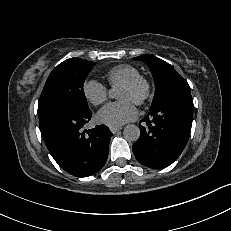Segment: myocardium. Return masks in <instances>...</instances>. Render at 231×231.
I'll use <instances>...</instances> for the list:
<instances>
[{"label": "myocardium", "mask_w": 231, "mask_h": 231, "mask_svg": "<svg viewBox=\"0 0 231 231\" xmlns=\"http://www.w3.org/2000/svg\"><path fill=\"white\" fill-rule=\"evenodd\" d=\"M121 86L139 91V96L137 97L135 104L140 106L144 105L152 96V83L149 79L141 75L124 82Z\"/></svg>", "instance_id": "obj_1"}]
</instances>
